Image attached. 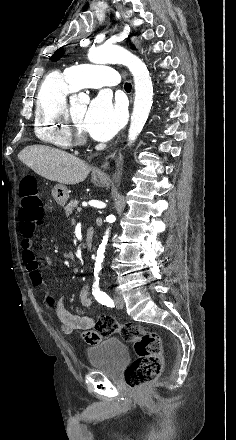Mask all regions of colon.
<instances>
[{
	"instance_id": "1",
	"label": "colon",
	"mask_w": 236,
	"mask_h": 440,
	"mask_svg": "<svg viewBox=\"0 0 236 440\" xmlns=\"http://www.w3.org/2000/svg\"><path fill=\"white\" fill-rule=\"evenodd\" d=\"M19 196L21 232L25 236H30L44 220V203L33 177L27 176L21 180ZM93 330H100L101 338L85 339L86 341L98 342L102 338L118 333L124 341L134 344L136 359L125 372L126 384L131 389H137L160 375L163 368V350L156 332L145 330L135 322L119 324L110 316H100Z\"/></svg>"
}]
</instances>
